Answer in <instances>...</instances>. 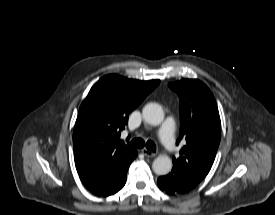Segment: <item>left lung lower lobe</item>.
<instances>
[{"label": "left lung lower lobe", "instance_id": "obj_1", "mask_svg": "<svg viewBox=\"0 0 275 215\" xmlns=\"http://www.w3.org/2000/svg\"><path fill=\"white\" fill-rule=\"evenodd\" d=\"M202 179L192 176L180 168L174 167L168 175L158 178L157 183L162 191L168 194H184L195 188Z\"/></svg>", "mask_w": 275, "mask_h": 215}]
</instances>
